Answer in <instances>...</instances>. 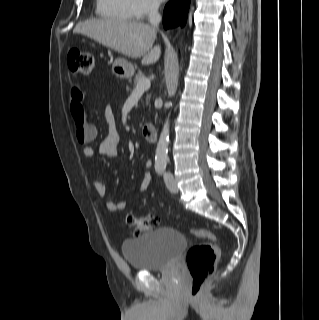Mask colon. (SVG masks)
Segmentation results:
<instances>
[{
	"mask_svg": "<svg viewBox=\"0 0 319 320\" xmlns=\"http://www.w3.org/2000/svg\"><path fill=\"white\" fill-rule=\"evenodd\" d=\"M68 66L73 73L89 76L94 67V58L90 53L72 49L67 57ZM76 139L80 143H87L94 138L91 128L84 121L74 120ZM127 225L132 234L138 235L144 231L156 228L160 218L156 215L140 216L129 214ZM191 234L208 242L192 246L186 254V265L191 276L189 294L199 297L206 280L210 278L216 268L220 252V242L217 235L206 229H192Z\"/></svg>",
	"mask_w": 319,
	"mask_h": 320,
	"instance_id": "5ec220e1",
	"label": "colon"
}]
</instances>
